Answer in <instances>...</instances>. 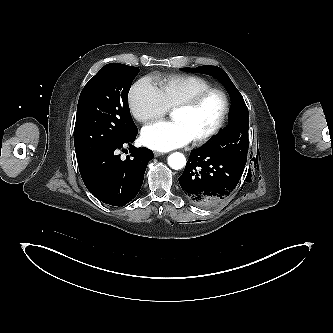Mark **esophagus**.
Segmentation results:
<instances>
[{"label":"esophagus","instance_id":"34e87169","mask_svg":"<svg viewBox=\"0 0 333 333\" xmlns=\"http://www.w3.org/2000/svg\"><path fill=\"white\" fill-rule=\"evenodd\" d=\"M161 155H164V154L161 153V152H158V151H155V152H154V156H155V157H159V156H161Z\"/></svg>","mask_w":333,"mask_h":333}]
</instances>
